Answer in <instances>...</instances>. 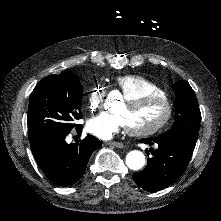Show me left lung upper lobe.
I'll return each mask as SVG.
<instances>
[{
    "label": "left lung upper lobe",
    "instance_id": "obj_1",
    "mask_svg": "<svg viewBox=\"0 0 221 221\" xmlns=\"http://www.w3.org/2000/svg\"><path fill=\"white\" fill-rule=\"evenodd\" d=\"M175 91V121L165 133H178L194 142L197 141L201 113L194 90L185 80L173 85Z\"/></svg>",
    "mask_w": 221,
    "mask_h": 221
}]
</instances>
